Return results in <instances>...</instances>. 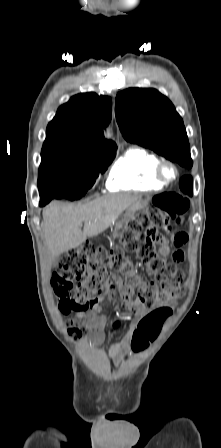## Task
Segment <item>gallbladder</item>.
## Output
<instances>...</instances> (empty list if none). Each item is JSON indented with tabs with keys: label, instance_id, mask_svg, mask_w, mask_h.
<instances>
[{
	"label": "gallbladder",
	"instance_id": "1",
	"mask_svg": "<svg viewBox=\"0 0 221 448\" xmlns=\"http://www.w3.org/2000/svg\"><path fill=\"white\" fill-rule=\"evenodd\" d=\"M60 258H61L60 256H57V257H55V258L53 259V261H52V266H53V267H56V266H57V264H58Z\"/></svg>",
	"mask_w": 221,
	"mask_h": 448
}]
</instances>
